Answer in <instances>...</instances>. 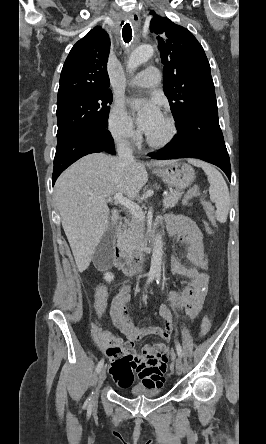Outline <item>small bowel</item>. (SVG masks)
<instances>
[{"instance_id":"1","label":"small bowel","mask_w":266,"mask_h":444,"mask_svg":"<svg viewBox=\"0 0 266 444\" xmlns=\"http://www.w3.org/2000/svg\"><path fill=\"white\" fill-rule=\"evenodd\" d=\"M166 227L176 237L179 247L186 246L185 256H176L173 260L175 274L186 278L182 282V292H171L168 295L170 307L162 305L158 314L165 323L164 328L136 326L126 311L129 302V289H123L111 304V317L114 325L126 336L123 341L103 331L100 320L103 317L108 291L106 286L99 285L93 297L95 319L91 324V336L107 354L111 361L110 374L120 388H129L134 374L145 388H161L165 382L164 374L172 352L166 343L145 346L140 353L135 344L147 335H156L168 342L174 331V313L184 312L189 318H195L202 307L207 293L208 275L207 258L202 235L196 224L186 216H168Z\"/></svg>"}]
</instances>
